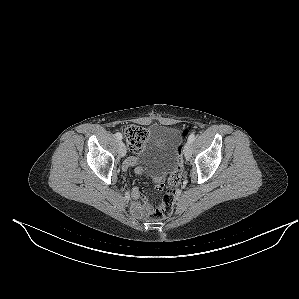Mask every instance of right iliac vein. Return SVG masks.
Wrapping results in <instances>:
<instances>
[{"label":"right iliac vein","instance_id":"1","mask_svg":"<svg viewBox=\"0 0 299 299\" xmlns=\"http://www.w3.org/2000/svg\"><path fill=\"white\" fill-rule=\"evenodd\" d=\"M119 154L121 157L126 155V146L122 141L119 142Z\"/></svg>","mask_w":299,"mask_h":299}]
</instances>
